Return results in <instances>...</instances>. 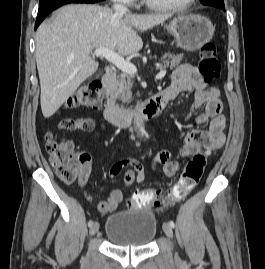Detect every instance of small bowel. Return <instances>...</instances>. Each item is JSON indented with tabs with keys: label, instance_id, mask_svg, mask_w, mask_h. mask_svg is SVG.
I'll list each match as a JSON object with an SVG mask.
<instances>
[{
	"label": "small bowel",
	"instance_id": "c3829d8e",
	"mask_svg": "<svg viewBox=\"0 0 265 269\" xmlns=\"http://www.w3.org/2000/svg\"><path fill=\"white\" fill-rule=\"evenodd\" d=\"M187 92H191L194 95L193 112L205 107L204 112L195 117V121L200 124L206 123L209 120L211 122L210 132L195 129L185 136L183 145L179 150V156L183 158L199 153L203 148L219 149L226 140L224 117L222 115L223 103L220 99L219 90L216 87H209L196 67L182 64L174 71L171 85L162 92L165 105L174 101L181 93ZM191 118L192 114L188 115L187 120ZM85 120L89 126L85 130L74 131H94L98 137L105 132L106 127L104 124L96 127L92 120L86 118ZM81 157V174L78 183L83 187L91 171V157L87 153L82 154ZM152 163L154 166L161 165L166 176H174L179 170V161L173 157L168 149L157 152L153 157ZM127 166H131L132 169L124 174L125 187L129 188L134 183L144 181L146 175L145 166L134 158H125L113 163L109 169V176L116 178ZM123 198L124 194L120 189L112 190L106 200L99 202L98 211L101 214L116 211Z\"/></svg>",
	"mask_w": 265,
	"mask_h": 269
}]
</instances>
